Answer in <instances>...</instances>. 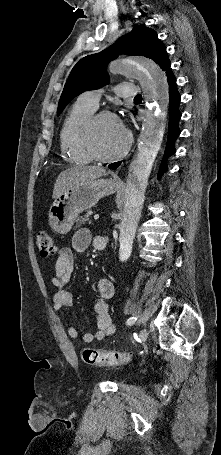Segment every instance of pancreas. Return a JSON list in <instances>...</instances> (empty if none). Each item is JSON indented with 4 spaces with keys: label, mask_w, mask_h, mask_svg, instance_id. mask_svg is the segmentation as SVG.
I'll list each match as a JSON object with an SVG mask.
<instances>
[{
    "label": "pancreas",
    "mask_w": 221,
    "mask_h": 455,
    "mask_svg": "<svg viewBox=\"0 0 221 455\" xmlns=\"http://www.w3.org/2000/svg\"><path fill=\"white\" fill-rule=\"evenodd\" d=\"M90 215H91V213L88 212L84 216L78 218L76 227H80L82 224H85L87 221L89 222V224H91V220H89Z\"/></svg>",
    "instance_id": "cf45deb5"
}]
</instances>
